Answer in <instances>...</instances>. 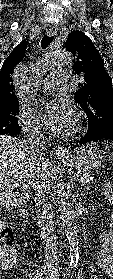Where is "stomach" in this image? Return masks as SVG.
<instances>
[{
	"instance_id": "0dacf381",
	"label": "stomach",
	"mask_w": 113,
	"mask_h": 279,
	"mask_svg": "<svg viewBox=\"0 0 113 279\" xmlns=\"http://www.w3.org/2000/svg\"><path fill=\"white\" fill-rule=\"evenodd\" d=\"M64 165L78 171H91L101 166L102 153L95 144H86L74 149L66 156H59Z\"/></svg>"
}]
</instances>
